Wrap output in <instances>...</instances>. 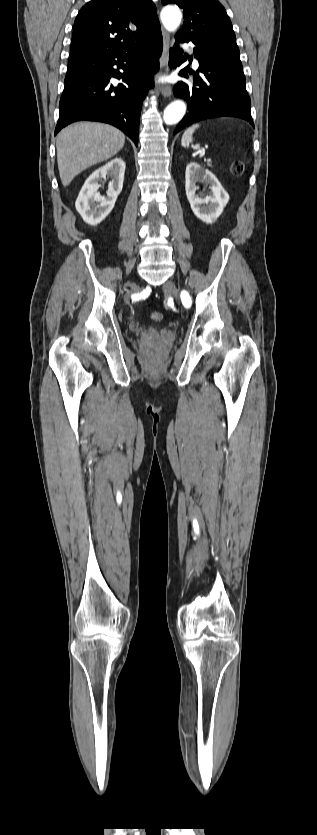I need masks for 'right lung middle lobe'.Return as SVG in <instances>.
<instances>
[{
  "label": "right lung middle lobe",
  "instance_id": "obj_1",
  "mask_svg": "<svg viewBox=\"0 0 317 835\" xmlns=\"http://www.w3.org/2000/svg\"><path fill=\"white\" fill-rule=\"evenodd\" d=\"M81 76H82V75H81ZM68 80H69V79H67V78L65 79V81H68Z\"/></svg>",
  "mask_w": 317,
  "mask_h": 835
}]
</instances>
